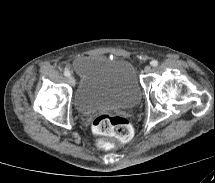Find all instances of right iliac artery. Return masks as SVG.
Segmentation results:
<instances>
[{
	"label": "right iliac artery",
	"instance_id": "82829eb1",
	"mask_svg": "<svg viewBox=\"0 0 215 183\" xmlns=\"http://www.w3.org/2000/svg\"><path fill=\"white\" fill-rule=\"evenodd\" d=\"M64 75L67 76V77L70 76V71L69 70H65L64 71Z\"/></svg>",
	"mask_w": 215,
	"mask_h": 183
}]
</instances>
